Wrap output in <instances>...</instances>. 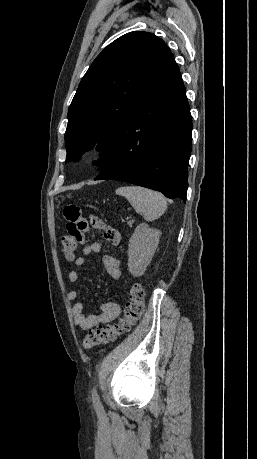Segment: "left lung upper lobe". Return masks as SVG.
I'll return each mask as SVG.
<instances>
[{
	"label": "left lung upper lobe",
	"mask_w": 257,
	"mask_h": 459,
	"mask_svg": "<svg viewBox=\"0 0 257 459\" xmlns=\"http://www.w3.org/2000/svg\"><path fill=\"white\" fill-rule=\"evenodd\" d=\"M171 54L154 34L135 31L116 39L97 56L68 110L67 160H78L96 146L105 151L97 161L101 171L112 155L120 125Z\"/></svg>",
	"instance_id": "left-lung-upper-lobe-1"
}]
</instances>
